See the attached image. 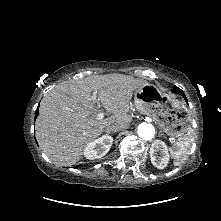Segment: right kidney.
Returning a JSON list of instances; mask_svg holds the SVG:
<instances>
[{"mask_svg": "<svg viewBox=\"0 0 221 221\" xmlns=\"http://www.w3.org/2000/svg\"><path fill=\"white\" fill-rule=\"evenodd\" d=\"M112 143L113 138L108 135L95 139L85 147L84 156L90 160L99 159L108 153Z\"/></svg>", "mask_w": 221, "mask_h": 221, "instance_id": "obj_1", "label": "right kidney"}]
</instances>
